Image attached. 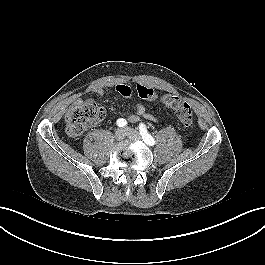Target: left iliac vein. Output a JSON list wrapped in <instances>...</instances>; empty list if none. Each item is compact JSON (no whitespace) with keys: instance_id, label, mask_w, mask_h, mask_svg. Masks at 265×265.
<instances>
[{"instance_id":"1","label":"left iliac vein","mask_w":265,"mask_h":265,"mask_svg":"<svg viewBox=\"0 0 265 265\" xmlns=\"http://www.w3.org/2000/svg\"><path fill=\"white\" fill-rule=\"evenodd\" d=\"M125 131H126V135L129 138H131V139H137V140L141 139V136H140V134H139L138 131H136V130H134L132 128H129V127L125 128Z\"/></svg>"}]
</instances>
